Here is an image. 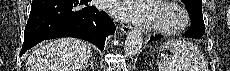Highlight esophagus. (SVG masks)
<instances>
[{
  "label": "esophagus",
  "mask_w": 230,
  "mask_h": 71,
  "mask_svg": "<svg viewBox=\"0 0 230 71\" xmlns=\"http://www.w3.org/2000/svg\"><path fill=\"white\" fill-rule=\"evenodd\" d=\"M132 27L128 24H123L121 26V31L123 34H128L131 31Z\"/></svg>",
  "instance_id": "1"
}]
</instances>
